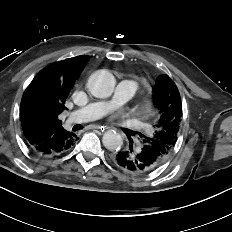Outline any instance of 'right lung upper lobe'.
I'll return each instance as SVG.
<instances>
[{
	"label": "right lung upper lobe",
	"mask_w": 232,
	"mask_h": 232,
	"mask_svg": "<svg viewBox=\"0 0 232 232\" xmlns=\"http://www.w3.org/2000/svg\"><path fill=\"white\" fill-rule=\"evenodd\" d=\"M87 61L88 56L81 55L53 63L40 71L25 90L20 117L31 118L38 128L37 142L63 129L58 116L66 109L65 99Z\"/></svg>",
	"instance_id": "obj_1"
}]
</instances>
